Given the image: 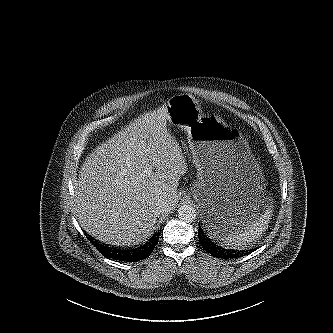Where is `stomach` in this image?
I'll return each instance as SVG.
<instances>
[{
    "mask_svg": "<svg viewBox=\"0 0 333 333\" xmlns=\"http://www.w3.org/2000/svg\"><path fill=\"white\" fill-rule=\"evenodd\" d=\"M167 120L184 128L198 171L192 188L211 235L222 241L268 209L261 166L243 136L198 100L179 94L167 102Z\"/></svg>",
    "mask_w": 333,
    "mask_h": 333,
    "instance_id": "0dacf381",
    "label": "stomach"
}]
</instances>
